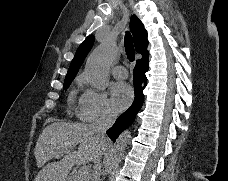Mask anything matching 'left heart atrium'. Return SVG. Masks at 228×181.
<instances>
[{
	"label": "left heart atrium",
	"instance_id": "left-heart-atrium-1",
	"mask_svg": "<svg viewBox=\"0 0 228 181\" xmlns=\"http://www.w3.org/2000/svg\"><path fill=\"white\" fill-rule=\"evenodd\" d=\"M112 95L116 104L124 106L132 97L133 92L128 84L117 82L112 87Z\"/></svg>",
	"mask_w": 228,
	"mask_h": 181
}]
</instances>
